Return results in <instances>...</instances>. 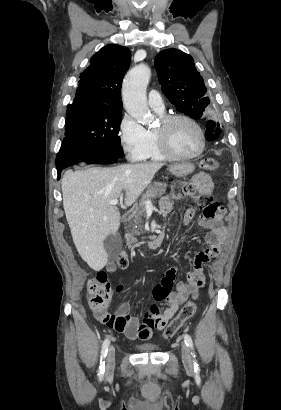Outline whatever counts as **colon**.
<instances>
[{
    "label": "colon",
    "mask_w": 281,
    "mask_h": 410,
    "mask_svg": "<svg viewBox=\"0 0 281 410\" xmlns=\"http://www.w3.org/2000/svg\"><path fill=\"white\" fill-rule=\"evenodd\" d=\"M200 166L206 171H216L218 169V163L212 158H204L201 161ZM192 191L193 187L188 183H184L178 187V190L173 193V196L178 198L180 195H188ZM199 204L204 209L205 215L208 217H218L224 214V208L219 203L215 202L211 195H200ZM116 264L119 268H126L128 266L129 258L126 252L122 251L119 253ZM112 292L113 287L104 272H99L87 283V295L90 308L96 313L102 322L115 330H118L125 327L126 320L123 317L107 313L112 298ZM195 311L196 304L193 301L186 303L179 314L165 329L163 334L164 337L166 339L173 337L194 315Z\"/></svg>",
    "instance_id": "obj_1"
}]
</instances>
